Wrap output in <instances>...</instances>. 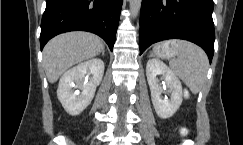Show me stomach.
Masks as SVG:
<instances>
[{
	"label": "stomach",
	"mask_w": 243,
	"mask_h": 145,
	"mask_svg": "<svg viewBox=\"0 0 243 145\" xmlns=\"http://www.w3.org/2000/svg\"><path fill=\"white\" fill-rule=\"evenodd\" d=\"M177 50L172 41L157 44L153 49V54L157 57L168 59L176 55Z\"/></svg>",
	"instance_id": "stomach-1"
}]
</instances>
